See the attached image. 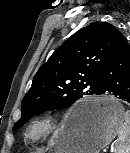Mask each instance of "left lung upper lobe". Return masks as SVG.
I'll return each mask as SVG.
<instances>
[{
  "label": "left lung upper lobe",
  "instance_id": "left-lung-upper-lobe-1",
  "mask_svg": "<svg viewBox=\"0 0 130 153\" xmlns=\"http://www.w3.org/2000/svg\"><path fill=\"white\" fill-rule=\"evenodd\" d=\"M122 36L109 23L93 22L68 38L34 76L13 130L37 114L98 94L102 70Z\"/></svg>",
  "mask_w": 130,
  "mask_h": 153
}]
</instances>
